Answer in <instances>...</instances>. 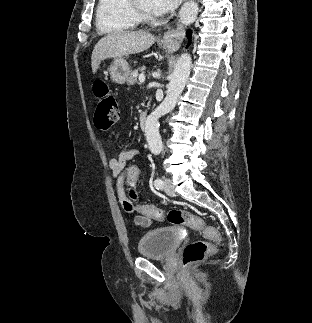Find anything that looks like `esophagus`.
<instances>
[{
  "mask_svg": "<svg viewBox=\"0 0 312 323\" xmlns=\"http://www.w3.org/2000/svg\"><path fill=\"white\" fill-rule=\"evenodd\" d=\"M185 36L184 26L178 22L174 30H167L163 36L164 43L171 49H178Z\"/></svg>",
  "mask_w": 312,
  "mask_h": 323,
  "instance_id": "1",
  "label": "esophagus"
}]
</instances>
